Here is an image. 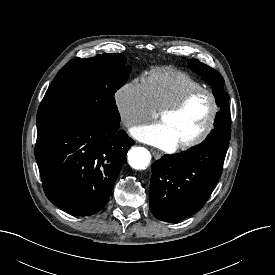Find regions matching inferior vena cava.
I'll use <instances>...</instances> for the list:
<instances>
[{
  "label": "inferior vena cava",
  "instance_id": "602c4592",
  "mask_svg": "<svg viewBox=\"0 0 275 275\" xmlns=\"http://www.w3.org/2000/svg\"><path fill=\"white\" fill-rule=\"evenodd\" d=\"M133 123H134L133 120H127V121H125V125H127V126H129V125H131Z\"/></svg>",
  "mask_w": 275,
  "mask_h": 275
}]
</instances>
